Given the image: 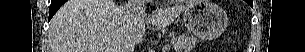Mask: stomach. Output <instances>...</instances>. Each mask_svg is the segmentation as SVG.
<instances>
[{"mask_svg":"<svg viewBox=\"0 0 305 52\" xmlns=\"http://www.w3.org/2000/svg\"><path fill=\"white\" fill-rule=\"evenodd\" d=\"M183 23L194 35L213 39L226 28L228 18L225 11L209 0H196L183 11Z\"/></svg>","mask_w":305,"mask_h":52,"instance_id":"stomach-1","label":"stomach"}]
</instances>
